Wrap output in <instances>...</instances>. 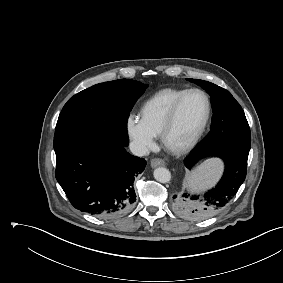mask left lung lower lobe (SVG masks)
<instances>
[{
    "label": "left lung lower lobe",
    "instance_id": "0a47b994",
    "mask_svg": "<svg viewBox=\"0 0 283 283\" xmlns=\"http://www.w3.org/2000/svg\"><path fill=\"white\" fill-rule=\"evenodd\" d=\"M249 151L237 148L197 147L185 160L184 164L191 169L201 158L215 156L225 164L224 174L219 183L203 196L184 193L182 198L175 201V209L188 219H206L218 213L234 196L247 173ZM176 198V196H175Z\"/></svg>",
    "mask_w": 283,
    "mask_h": 283
}]
</instances>
